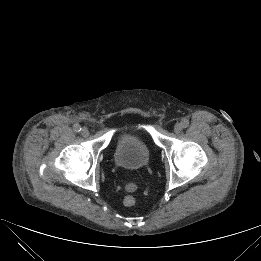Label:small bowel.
<instances>
[{"mask_svg":"<svg viewBox=\"0 0 261 261\" xmlns=\"http://www.w3.org/2000/svg\"><path fill=\"white\" fill-rule=\"evenodd\" d=\"M127 190H128L129 192H133V191L135 190V188H134V186H128V187H127Z\"/></svg>","mask_w":261,"mask_h":261,"instance_id":"small-bowel-1","label":"small bowel"}]
</instances>
